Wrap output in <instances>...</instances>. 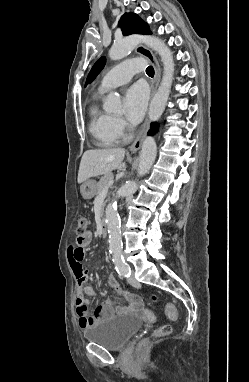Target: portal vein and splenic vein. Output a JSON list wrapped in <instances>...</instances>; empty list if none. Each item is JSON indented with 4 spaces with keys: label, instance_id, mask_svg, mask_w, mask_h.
I'll use <instances>...</instances> for the list:
<instances>
[{
    "label": "portal vein and splenic vein",
    "instance_id": "1",
    "mask_svg": "<svg viewBox=\"0 0 249 382\" xmlns=\"http://www.w3.org/2000/svg\"><path fill=\"white\" fill-rule=\"evenodd\" d=\"M113 182H114L113 180L109 181V182H108V186H107L103 191H104V192H107L108 189H109V187L113 185Z\"/></svg>",
    "mask_w": 249,
    "mask_h": 382
}]
</instances>
